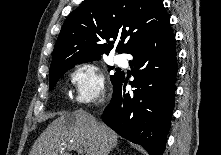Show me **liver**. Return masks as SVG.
<instances>
[{"label": "liver", "mask_w": 221, "mask_h": 155, "mask_svg": "<svg viewBox=\"0 0 221 155\" xmlns=\"http://www.w3.org/2000/svg\"><path fill=\"white\" fill-rule=\"evenodd\" d=\"M118 135L91 114L76 110L55 119L32 146L30 155H71L69 146L84 148L86 155H108Z\"/></svg>", "instance_id": "obj_1"}]
</instances>
